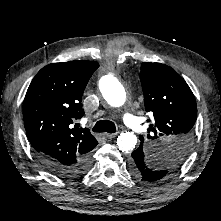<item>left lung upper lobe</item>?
Returning <instances> with one entry per match:
<instances>
[{
  "label": "left lung upper lobe",
  "mask_w": 221,
  "mask_h": 221,
  "mask_svg": "<svg viewBox=\"0 0 221 221\" xmlns=\"http://www.w3.org/2000/svg\"><path fill=\"white\" fill-rule=\"evenodd\" d=\"M140 80L144 105L154 119L148 128L149 164L167 180L185 160L194 138L195 97L185 80L161 63H142ZM150 120H148L149 122ZM143 146L144 139L140 137Z\"/></svg>",
  "instance_id": "1"
}]
</instances>
